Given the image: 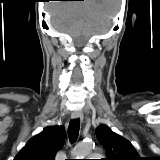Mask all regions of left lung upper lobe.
<instances>
[{
    "instance_id": "obj_1",
    "label": "left lung upper lobe",
    "mask_w": 160,
    "mask_h": 160,
    "mask_svg": "<svg viewBox=\"0 0 160 160\" xmlns=\"http://www.w3.org/2000/svg\"><path fill=\"white\" fill-rule=\"evenodd\" d=\"M96 136L106 150L107 158L103 160H142L134 146L108 126L100 125L96 129Z\"/></svg>"
}]
</instances>
